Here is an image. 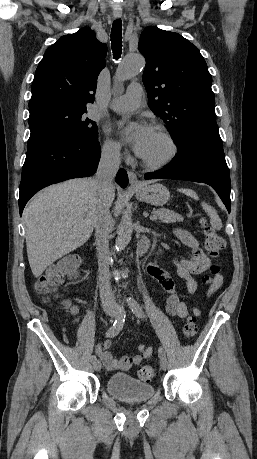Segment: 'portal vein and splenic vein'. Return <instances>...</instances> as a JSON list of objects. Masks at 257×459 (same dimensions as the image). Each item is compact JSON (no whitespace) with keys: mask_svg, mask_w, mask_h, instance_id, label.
I'll use <instances>...</instances> for the list:
<instances>
[{"mask_svg":"<svg viewBox=\"0 0 257 459\" xmlns=\"http://www.w3.org/2000/svg\"><path fill=\"white\" fill-rule=\"evenodd\" d=\"M156 219H157V216H156V215L150 216V220H156Z\"/></svg>","mask_w":257,"mask_h":459,"instance_id":"obj_1","label":"portal vein and splenic vein"}]
</instances>
